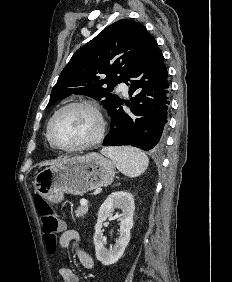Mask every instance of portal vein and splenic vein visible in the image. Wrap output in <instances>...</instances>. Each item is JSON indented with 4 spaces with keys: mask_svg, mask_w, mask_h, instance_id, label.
Here are the masks:
<instances>
[{
    "mask_svg": "<svg viewBox=\"0 0 232 282\" xmlns=\"http://www.w3.org/2000/svg\"><path fill=\"white\" fill-rule=\"evenodd\" d=\"M80 204H81L82 206H87L88 201H87L86 199H82V200H80Z\"/></svg>",
    "mask_w": 232,
    "mask_h": 282,
    "instance_id": "1",
    "label": "portal vein and splenic vein"
}]
</instances>
